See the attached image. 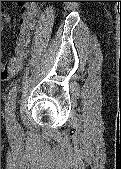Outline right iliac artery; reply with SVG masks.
<instances>
[{
    "mask_svg": "<svg viewBox=\"0 0 121 169\" xmlns=\"http://www.w3.org/2000/svg\"><path fill=\"white\" fill-rule=\"evenodd\" d=\"M17 95V87L14 86L8 96V101L6 103L5 107V113H6V120L9 128H13L16 125L15 120V98Z\"/></svg>",
    "mask_w": 121,
    "mask_h": 169,
    "instance_id": "82829eb1",
    "label": "right iliac artery"
}]
</instances>
